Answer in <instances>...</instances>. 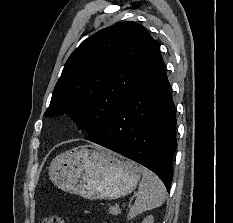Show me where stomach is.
Here are the masks:
<instances>
[{
  "label": "stomach",
  "mask_w": 233,
  "mask_h": 223,
  "mask_svg": "<svg viewBox=\"0 0 233 223\" xmlns=\"http://www.w3.org/2000/svg\"><path fill=\"white\" fill-rule=\"evenodd\" d=\"M49 177L61 189L86 199H117L135 189L141 167L110 149L81 145L57 155Z\"/></svg>",
  "instance_id": "obj_1"
}]
</instances>
